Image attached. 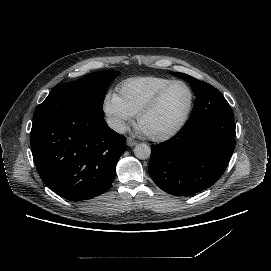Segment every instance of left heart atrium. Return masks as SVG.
<instances>
[{"label": "left heart atrium", "instance_id": "obj_1", "mask_svg": "<svg viewBox=\"0 0 271 271\" xmlns=\"http://www.w3.org/2000/svg\"><path fill=\"white\" fill-rule=\"evenodd\" d=\"M138 131H139L140 133H146V132L144 131V129H143L141 126H139Z\"/></svg>", "mask_w": 271, "mask_h": 271}]
</instances>
